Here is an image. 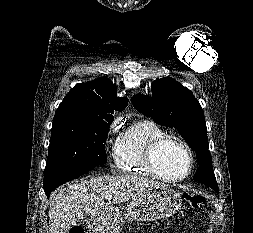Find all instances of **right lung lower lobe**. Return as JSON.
Listing matches in <instances>:
<instances>
[{"instance_id":"right-lung-lower-lobe-1","label":"right lung lower lobe","mask_w":253,"mask_h":233,"mask_svg":"<svg viewBox=\"0 0 253 233\" xmlns=\"http://www.w3.org/2000/svg\"><path fill=\"white\" fill-rule=\"evenodd\" d=\"M92 169L93 167L85 166L65 167L44 174L43 188L47 197H49L50 193L61 184L75 179Z\"/></svg>"}]
</instances>
